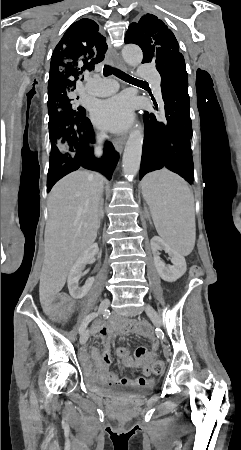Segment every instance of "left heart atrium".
Returning a JSON list of instances; mask_svg holds the SVG:
<instances>
[{"label":"left heart atrium","instance_id":"obj_1","mask_svg":"<svg viewBox=\"0 0 241 450\" xmlns=\"http://www.w3.org/2000/svg\"><path fill=\"white\" fill-rule=\"evenodd\" d=\"M134 108L132 97L128 94H118L99 102L92 112V118L100 129L120 132L132 123Z\"/></svg>","mask_w":241,"mask_h":450}]
</instances>
